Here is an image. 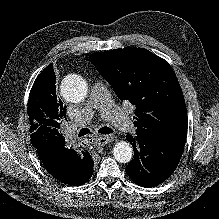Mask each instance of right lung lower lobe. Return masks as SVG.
<instances>
[{
    "label": "right lung lower lobe",
    "instance_id": "right-lung-lower-lobe-1",
    "mask_svg": "<svg viewBox=\"0 0 219 219\" xmlns=\"http://www.w3.org/2000/svg\"><path fill=\"white\" fill-rule=\"evenodd\" d=\"M36 149L46 170L57 180L65 184L82 185L93 174V161L87 151L79 153L73 149L66 148L64 142L57 141H42ZM63 159L66 160L64 163L69 172L59 174L55 170V162L56 160Z\"/></svg>",
    "mask_w": 219,
    "mask_h": 219
}]
</instances>
